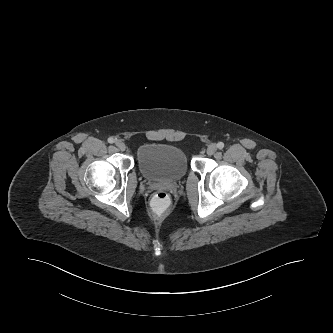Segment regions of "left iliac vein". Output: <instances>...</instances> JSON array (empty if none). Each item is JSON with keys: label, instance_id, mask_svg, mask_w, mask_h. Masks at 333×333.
Returning a JSON list of instances; mask_svg holds the SVG:
<instances>
[{"label": "left iliac vein", "instance_id": "obj_1", "mask_svg": "<svg viewBox=\"0 0 333 333\" xmlns=\"http://www.w3.org/2000/svg\"><path fill=\"white\" fill-rule=\"evenodd\" d=\"M216 151H217L216 144H210L207 148V154L208 155H213Z\"/></svg>", "mask_w": 333, "mask_h": 333}]
</instances>
